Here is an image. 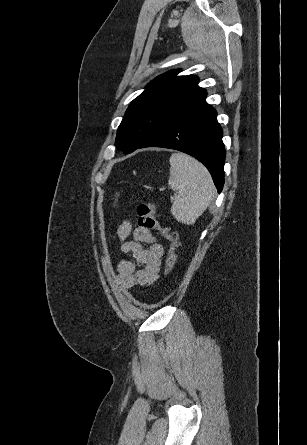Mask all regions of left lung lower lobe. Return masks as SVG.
<instances>
[{"label":"left lung lower lobe","instance_id":"0a47b994","mask_svg":"<svg viewBox=\"0 0 307 445\" xmlns=\"http://www.w3.org/2000/svg\"><path fill=\"white\" fill-rule=\"evenodd\" d=\"M216 115L215 109L203 100L147 138L138 148H170L195 157L207 167L220 193L224 184L225 149Z\"/></svg>","mask_w":307,"mask_h":445}]
</instances>
